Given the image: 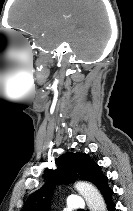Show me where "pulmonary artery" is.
<instances>
[{"label":"pulmonary artery","mask_w":133,"mask_h":211,"mask_svg":"<svg viewBox=\"0 0 133 211\" xmlns=\"http://www.w3.org/2000/svg\"><path fill=\"white\" fill-rule=\"evenodd\" d=\"M68 211L82 210L85 207V201L81 196L71 195L67 201Z\"/></svg>","instance_id":"pulmonary-artery-1"}]
</instances>
